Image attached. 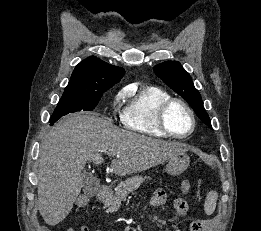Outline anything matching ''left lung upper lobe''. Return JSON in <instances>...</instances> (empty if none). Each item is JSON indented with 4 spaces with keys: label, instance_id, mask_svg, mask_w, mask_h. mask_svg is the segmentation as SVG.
I'll list each match as a JSON object with an SVG mask.
<instances>
[{
    "label": "left lung upper lobe",
    "instance_id": "left-lung-upper-lobe-1",
    "mask_svg": "<svg viewBox=\"0 0 261 231\" xmlns=\"http://www.w3.org/2000/svg\"><path fill=\"white\" fill-rule=\"evenodd\" d=\"M154 72L164 83L189 103L202 122L212 127L200 93L194 87L191 76L179 62L166 61L158 64L154 67Z\"/></svg>",
    "mask_w": 261,
    "mask_h": 231
}]
</instances>
